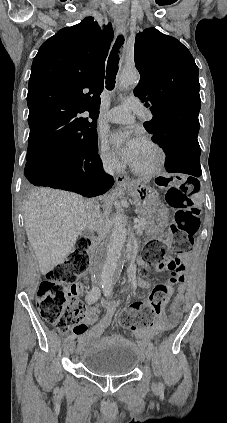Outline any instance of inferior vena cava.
Instances as JSON below:
<instances>
[{
	"label": "inferior vena cava",
	"mask_w": 227,
	"mask_h": 423,
	"mask_svg": "<svg viewBox=\"0 0 227 423\" xmlns=\"http://www.w3.org/2000/svg\"><path fill=\"white\" fill-rule=\"evenodd\" d=\"M115 164H117V158L115 154H108L106 158H103V168L105 172H107V174H113ZM86 211L88 217V225L89 227H92L94 231H97V241H99L101 233L103 231L102 223H98V219H100L101 217L99 206H94V204H91V202H87ZM92 279H94L93 275Z\"/></svg>",
	"instance_id": "inferior-vena-cava-1"
}]
</instances>
